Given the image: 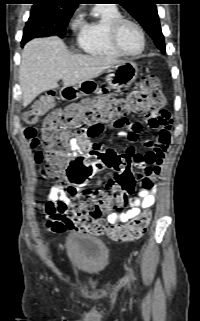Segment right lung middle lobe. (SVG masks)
Masks as SVG:
<instances>
[{
    "instance_id": "dd1d6c3e",
    "label": "right lung middle lobe",
    "mask_w": 200,
    "mask_h": 321,
    "mask_svg": "<svg viewBox=\"0 0 200 321\" xmlns=\"http://www.w3.org/2000/svg\"><path fill=\"white\" fill-rule=\"evenodd\" d=\"M73 12H59L47 6L33 5L24 28L22 46L29 40L41 36L57 35L63 38Z\"/></svg>"
}]
</instances>
